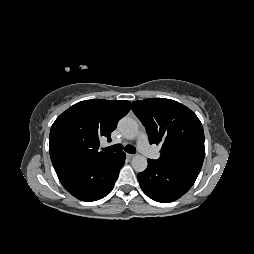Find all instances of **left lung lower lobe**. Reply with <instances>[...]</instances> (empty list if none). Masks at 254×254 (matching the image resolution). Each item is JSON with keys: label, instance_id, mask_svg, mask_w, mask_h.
Returning <instances> with one entry per match:
<instances>
[{"label": "left lung lower lobe", "instance_id": "0a47b994", "mask_svg": "<svg viewBox=\"0 0 254 254\" xmlns=\"http://www.w3.org/2000/svg\"><path fill=\"white\" fill-rule=\"evenodd\" d=\"M199 172L163 166L148 159V167L137 175L144 193L151 199L168 203L183 196L194 184Z\"/></svg>", "mask_w": 254, "mask_h": 254}]
</instances>
